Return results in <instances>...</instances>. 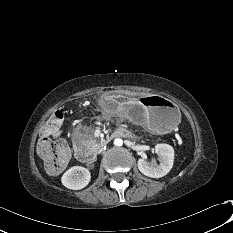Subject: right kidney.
<instances>
[{"label":"right kidney","instance_id":"right-kidney-1","mask_svg":"<svg viewBox=\"0 0 233 233\" xmlns=\"http://www.w3.org/2000/svg\"><path fill=\"white\" fill-rule=\"evenodd\" d=\"M91 175L88 169L81 166H73L62 176V184L72 190H80L88 185Z\"/></svg>","mask_w":233,"mask_h":233}]
</instances>
